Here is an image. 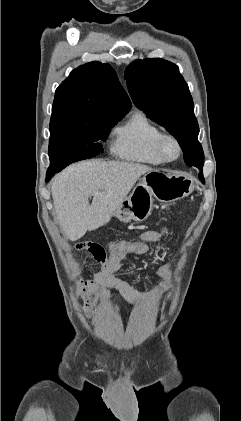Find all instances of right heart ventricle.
I'll list each match as a JSON object with an SVG mask.
<instances>
[{"instance_id":"1","label":"right heart ventricle","mask_w":241,"mask_h":421,"mask_svg":"<svg viewBox=\"0 0 241 421\" xmlns=\"http://www.w3.org/2000/svg\"><path fill=\"white\" fill-rule=\"evenodd\" d=\"M160 134V129L143 112L136 111L115 129L112 151L126 160L160 165L164 162L156 150Z\"/></svg>"}]
</instances>
